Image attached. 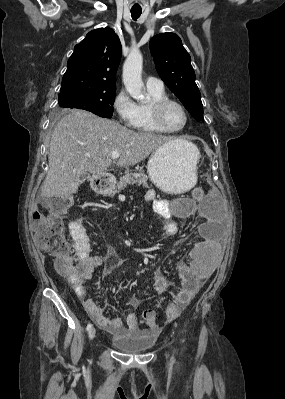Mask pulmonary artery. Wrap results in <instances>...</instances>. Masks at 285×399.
<instances>
[{
  "mask_svg": "<svg viewBox=\"0 0 285 399\" xmlns=\"http://www.w3.org/2000/svg\"><path fill=\"white\" fill-rule=\"evenodd\" d=\"M145 83H146L147 88H149V89L163 88V82L159 78L154 77V76H148L145 79Z\"/></svg>",
  "mask_w": 285,
  "mask_h": 399,
  "instance_id": "pulmonary-artery-1",
  "label": "pulmonary artery"
}]
</instances>
